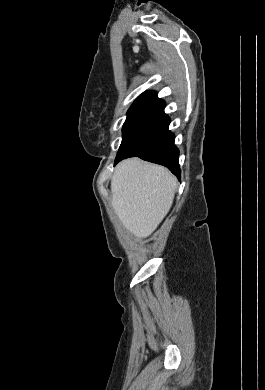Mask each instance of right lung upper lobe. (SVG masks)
Masks as SVG:
<instances>
[{
    "mask_svg": "<svg viewBox=\"0 0 265 390\" xmlns=\"http://www.w3.org/2000/svg\"><path fill=\"white\" fill-rule=\"evenodd\" d=\"M138 99H140V100H151L153 102L159 100V98L157 97V93L155 91L144 92L141 96H139L137 98V100Z\"/></svg>",
    "mask_w": 265,
    "mask_h": 390,
    "instance_id": "1",
    "label": "right lung upper lobe"
}]
</instances>
